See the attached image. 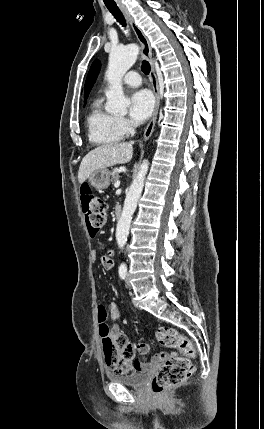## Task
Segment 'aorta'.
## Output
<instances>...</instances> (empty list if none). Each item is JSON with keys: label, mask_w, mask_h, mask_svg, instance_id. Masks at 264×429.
Wrapping results in <instances>:
<instances>
[{"label": "aorta", "mask_w": 264, "mask_h": 429, "mask_svg": "<svg viewBox=\"0 0 264 429\" xmlns=\"http://www.w3.org/2000/svg\"><path fill=\"white\" fill-rule=\"evenodd\" d=\"M138 53L139 48L136 44L115 47L111 50L106 71V77L109 82V89L106 91V109L108 112L125 113L127 111L130 100L125 97L121 82L125 73L135 63ZM148 167L149 162L144 160L126 195L124 207L116 227V240L120 249H123L126 244L132 216L143 191ZM120 267L124 268L125 264L122 263Z\"/></svg>", "instance_id": "762f6f07"}]
</instances>
